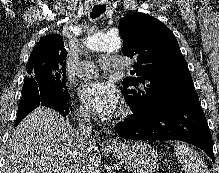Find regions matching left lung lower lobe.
<instances>
[{
	"label": "left lung lower lobe",
	"mask_w": 219,
	"mask_h": 173,
	"mask_svg": "<svg viewBox=\"0 0 219 173\" xmlns=\"http://www.w3.org/2000/svg\"><path fill=\"white\" fill-rule=\"evenodd\" d=\"M122 138L181 140L204 150L214 162L213 142L199 98L168 104L150 113H136L116 125Z\"/></svg>",
	"instance_id": "obj_1"
}]
</instances>
